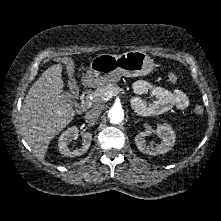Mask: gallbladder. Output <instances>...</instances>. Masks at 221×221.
Listing matches in <instances>:
<instances>
[{
	"label": "gallbladder",
	"mask_w": 221,
	"mask_h": 221,
	"mask_svg": "<svg viewBox=\"0 0 221 221\" xmlns=\"http://www.w3.org/2000/svg\"><path fill=\"white\" fill-rule=\"evenodd\" d=\"M64 98L70 103V104H75L73 99L71 98V95L69 92L65 91L63 92Z\"/></svg>",
	"instance_id": "gallbladder-1"
}]
</instances>
